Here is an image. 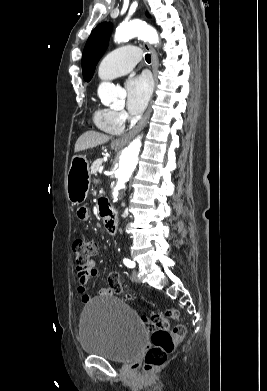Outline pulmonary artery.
<instances>
[{"mask_svg": "<svg viewBox=\"0 0 267 391\" xmlns=\"http://www.w3.org/2000/svg\"><path fill=\"white\" fill-rule=\"evenodd\" d=\"M140 58V50L131 45L111 51L99 64L97 73L99 80L106 81L127 74Z\"/></svg>", "mask_w": 267, "mask_h": 391, "instance_id": "e3ab8cb5", "label": "pulmonary artery"}]
</instances>
